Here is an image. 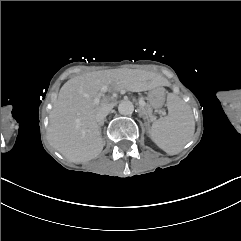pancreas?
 <instances>
[{
	"label": "pancreas",
	"instance_id": "cf45deb5",
	"mask_svg": "<svg viewBox=\"0 0 241 241\" xmlns=\"http://www.w3.org/2000/svg\"><path fill=\"white\" fill-rule=\"evenodd\" d=\"M142 111L147 117H149L150 119H154L152 109L150 108L149 105H147L145 108H143Z\"/></svg>",
	"mask_w": 241,
	"mask_h": 241
}]
</instances>
